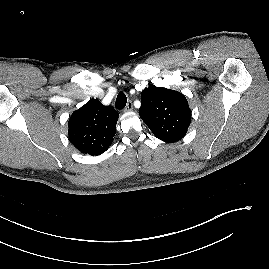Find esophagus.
<instances>
[{
	"instance_id": "obj_1",
	"label": "esophagus",
	"mask_w": 269,
	"mask_h": 269,
	"mask_svg": "<svg viewBox=\"0 0 269 269\" xmlns=\"http://www.w3.org/2000/svg\"><path fill=\"white\" fill-rule=\"evenodd\" d=\"M126 112L132 111L133 110V103L131 101H128L125 109Z\"/></svg>"
}]
</instances>
